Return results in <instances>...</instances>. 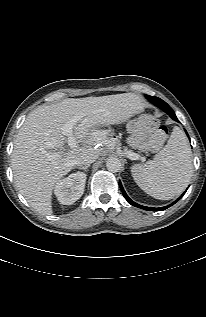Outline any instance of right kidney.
Segmentation results:
<instances>
[{
  "mask_svg": "<svg viewBox=\"0 0 206 317\" xmlns=\"http://www.w3.org/2000/svg\"><path fill=\"white\" fill-rule=\"evenodd\" d=\"M86 174L76 172L60 180L55 186L54 193L61 204L71 205L77 201L84 192Z\"/></svg>",
  "mask_w": 206,
  "mask_h": 317,
  "instance_id": "obj_1",
  "label": "right kidney"
}]
</instances>
